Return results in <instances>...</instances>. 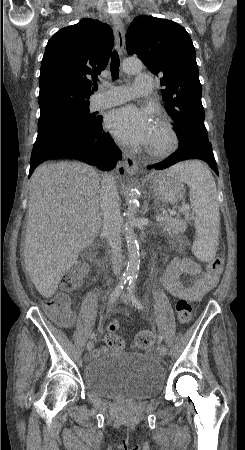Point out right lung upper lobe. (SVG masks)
Returning <instances> with one entry per match:
<instances>
[{"label":"right lung upper lobe","instance_id":"obj_1","mask_svg":"<svg viewBox=\"0 0 245 450\" xmlns=\"http://www.w3.org/2000/svg\"><path fill=\"white\" fill-rule=\"evenodd\" d=\"M112 29L85 18L59 30L49 41L41 63L39 107L89 104L97 75L108 64Z\"/></svg>","mask_w":245,"mask_h":450}]
</instances>
